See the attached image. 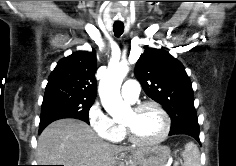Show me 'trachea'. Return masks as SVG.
I'll return each instance as SVG.
<instances>
[{"label":"trachea","mask_w":236,"mask_h":166,"mask_svg":"<svg viewBox=\"0 0 236 166\" xmlns=\"http://www.w3.org/2000/svg\"><path fill=\"white\" fill-rule=\"evenodd\" d=\"M113 31L116 37H120L124 31V24L123 23H114L113 24Z\"/></svg>","instance_id":"trachea-1"}]
</instances>
